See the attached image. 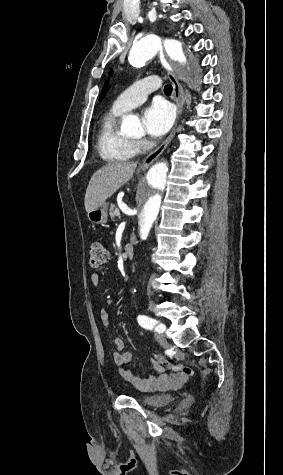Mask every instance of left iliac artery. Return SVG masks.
I'll list each match as a JSON object with an SVG mask.
<instances>
[{
	"mask_svg": "<svg viewBox=\"0 0 283 475\" xmlns=\"http://www.w3.org/2000/svg\"><path fill=\"white\" fill-rule=\"evenodd\" d=\"M138 323L143 327L147 329H153L158 322L152 318H149L146 315H139L137 317ZM156 331L163 332L165 330V326L163 324L158 325L156 328Z\"/></svg>",
	"mask_w": 283,
	"mask_h": 475,
	"instance_id": "1",
	"label": "left iliac artery"
}]
</instances>
